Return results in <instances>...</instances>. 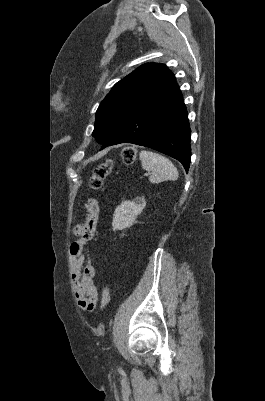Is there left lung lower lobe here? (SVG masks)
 Instances as JSON below:
<instances>
[{
    "label": "left lung lower lobe",
    "mask_w": 265,
    "mask_h": 401,
    "mask_svg": "<svg viewBox=\"0 0 265 401\" xmlns=\"http://www.w3.org/2000/svg\"><path fill=\"white\" fill-rule=\"evenodd\" d=\"M191 129L184 100L175 82L135 113L103 143L102 149L133 143L155 149L180 161L188 172L191 157Z\"/></svg>",
    "instance_id": "1"
}]
</instances>
